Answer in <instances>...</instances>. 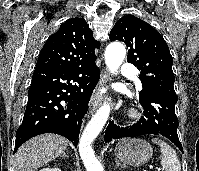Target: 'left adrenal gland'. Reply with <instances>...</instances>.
Segmentation results:
<instances>
[{"mask_svg":"<svg viewBox=\"0 0 199 171\" xmlns=\"http://www.w3.org/2000/svg\"><path fill=\"white\" fill-rule=\"evenodd\" d=\"M115 162H116V168H118L119 166H123L121 163H119V161L117 159H115Z\"/></svg>","mask_w":199,"mask_h":171,"instance_id":"a2214340","label":"left adrenal gland"}]
</instances>
